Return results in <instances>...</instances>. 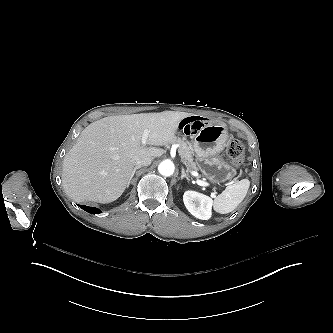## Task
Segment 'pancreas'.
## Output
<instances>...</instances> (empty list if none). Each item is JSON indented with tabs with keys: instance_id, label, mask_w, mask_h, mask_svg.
Here are the masks:
<instances>
[{
	"instance_id": "obj_1",
	"label": "pancreas",
	"mask_w": 333,
	"mask_h": 333,
	"mask_svg": "<svg viewBox=\"0 0 333 333\" xmlns=\"http://www.w3.org/2000/svg\"><path fill=\"white\" fill-rule=\"evenodd\" d=\"M176 142L180 144L179 155L181 157L183 164L187 167L189 171L191 172L195 171L196 166L195 163L193 162V157L191 154V146L186 142H184L183 139H178Z\"/></svg>"
}]
</instances>
